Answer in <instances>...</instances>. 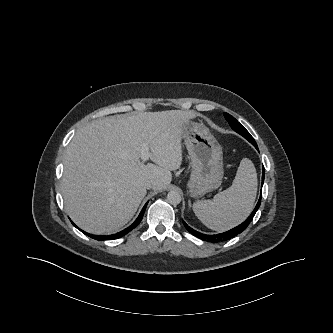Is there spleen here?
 Returning <instances> with one entry per match:
<instances>
[{
  "mask_svg": "<svg viewBox=\"0 0 333 333\" xmlns=\"http://www.w3.org/2000/svg\"><path fill=\"white\" fill-rule=\"evenodd\" d=\"M257 193V173L248 158L241 160L231 187L212 200L197 201L193 211L208 228L225 231L246 219L253 209Z\"/></svg>",
  "mask_w": 333,
  "mask_h": 333,
  "instance_id": "spleen-1",
  "label": "spleen"
}]
</instances>
